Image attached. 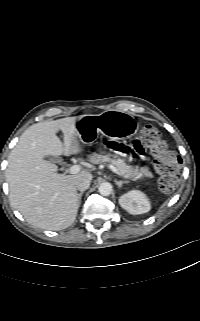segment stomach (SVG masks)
I'll use <instances>...</instances> for the list:
<instances>
[{
	"instance_id": "0dacf381",
	"label": "stomach",
	"mask_w": 200,
	"mask_h": 321,
	"mask_svg": "<svg viewBox=\"0 0 200 321\" xmlns=\"http://www.w3.org/2000/svg\"><path fill=\"white\" fill-rule=\"evenodd\" d=\"M75 129L81 142L92 143L98 133L114 140L131 138L138 126L129 113L108 110L99 115H83L76 122Z\"/></svg>"
}]
</instances>
